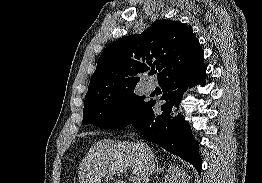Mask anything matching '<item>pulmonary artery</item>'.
Returning <instances> with one entry per match:
<instances>
[{"instance_id": "1", "label": "pulmonary artery", "mask_w": 262, "mask_h": 183, "mask_svg": "<svg viewBox=\"0 0 262 183\" xmlns=\"http://www.w3.org/2000/svg\"><path fill=\"white\" fill-rule=\"evenodd\" d=\"M154 89H155V85L153 83H147L145 85L146 92H152L154 91Z\"/></svg>"}]
</instances>
